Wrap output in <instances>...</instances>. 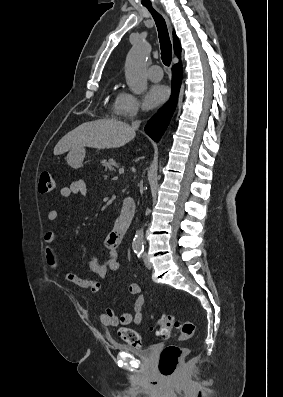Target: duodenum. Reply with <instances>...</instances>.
I'll list each match as a JSON object with an SVG mask.
<instances>
[{"label":"duodenum","mask_w":283,"mask_h":397,"mask_svg":"<svg viewBox=\"0 0 283 397\" xmlns=\"http://www.w3.org/2000/svg\"><path fill=\"white\" fill-rule=\"evenodd\" d=\"M135 214V202L131 197H127L123 201L122 209L114 222V229L124 234L129 228Z\"/></svg>","instance_id":"410a0bca"}]
</instances>
